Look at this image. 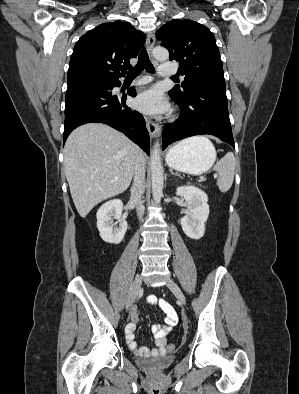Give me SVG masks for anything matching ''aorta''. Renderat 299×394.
<instances>
[{
  "instance_id": "1",
  "label": "aorta",
  "mask_w": 299,
  "mask_h": 394,
  "mask_svg": "<svg viewBox=\"0 0 299 394\" xmlns=\"http://www.w3.org/2000/svg\"><path fill=\"white\" fill-rule=\"evenodd\" d=\"M153 56L156 60L163 62L169 58L167 49L163 47H155L153 49ZM151 180H152V194L155 203L161 201L163 195V167L160 159V144L159 141L153 146L151 151Z\"/></svg>"
}]
</instances>
